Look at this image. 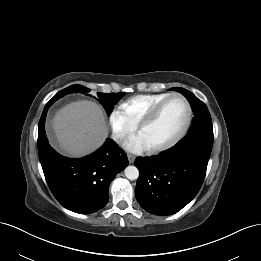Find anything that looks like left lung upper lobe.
I'll list each match as a JSON object with an SVG mask.
<instances>
[{"label": "left lung upper lobe", "instance_id": "obj_1", "mask_svg": "<svg viewBox=\"0 0 261 261\" xmlns=\"http://www.w3.org/2000/svg\"><path fill=\"white\" fill-rule=\"evenodd\" d=\"M171 90H175L183 94L188 99L192 107L194 117L187 134L207 133L213 135L212 120L207 106L192 92L184 88L174 87L171 88Z\"/></svg>", "mask_w": 261, "mask_h": 261}]
</instances>
